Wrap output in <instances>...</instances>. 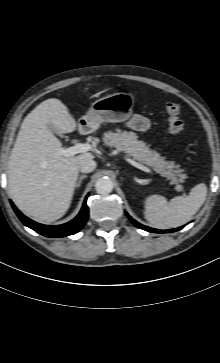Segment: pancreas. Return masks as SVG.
<instances>
[{"instance_id":"pancreas-1","label":"pancreas","mask_w":220,"mask_h":363,"mask_svg":"<svg viewBox=\"0 0 220 363\" xmlns=\"http://www.w3.org/2000/svg\"><path fill=\"white\" fill-rule=\"evenodd\" d=\"M137 137L133 132L117 129L116 132H106L103 141L106 146L124 151L139 163L165 174L177 187H180L179 182L185 179L186 175L179 169V165L165 161L164 157H161L157 151L151 150L145 142L138 140Z\"/></svg>"}]
</instances>
